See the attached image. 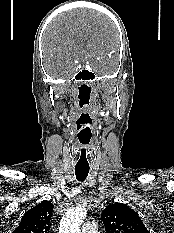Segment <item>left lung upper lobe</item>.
I'll return each instance as SVG.
<instances>
[{"mask_svg": "<svg viewBox=\"0 0 174 233\" xmlns=\"http://www.w3.org/2000/svg\"><path fill=\"white\" fill-rule=\"evenodd\" d=\"M101 218L106 233H149L139 215L123 203L106 206Z\"/></svg>", "mask_w": 174, "mask_h": 233, "instance_id": "obj_1", "label": "left lung upper lobe"}]
</instances>
